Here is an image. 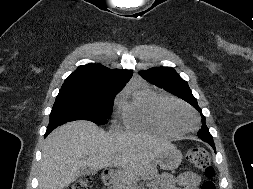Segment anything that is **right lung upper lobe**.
I'll return each mask as SVG.
<instances>
[{"label":"right lung upper lobe","mask_w":253,"mask_h":189,"mask_svg":"<svg viewBox=\"0 0 253 189\" xmlns=\"http://www.w3.org/2000/svg\"><path fill=\"white\" fill-rule=\"evenodd\" d=\"M132 75L130 70H111L99 64H87L79 66L70 74L61 89L121 91Z\"/></svg>","instance_id":"cb5924a9"}]
</instances>
